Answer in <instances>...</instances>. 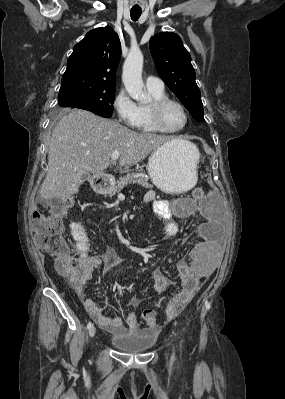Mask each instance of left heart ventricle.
<instances>
[{
    "label": "left heart ventricle",
    "instance_id": "obj_1",
    "mask_svg": "<svg viewBox=\"0 0 285 399\" xmlns=\"http://www.w3.org/2000/svg\"><path fill=\"white\" fill-rule=\"evenodd\" d=\"M164 122L171 128H178L184 124V115L181 109L175 105L170 104L164 110Z\"/></svg>",
    "mask_w": 285,
    "mask_h": 399
}]
</instances>
